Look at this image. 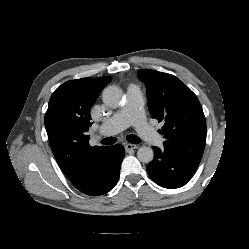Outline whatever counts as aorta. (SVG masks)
I'll use <instances>...</instances> for the list:
<instances>
[{"label": "aorta", "mask_w": 249, "mask_h": 249, "mask_svg": "<svg viewBox=\"0 0 249 249\" xmlns=\"http://www.w3.org/2000/svg\"><path fill=\"white\" fill-rule=\"evenodd\" d=\"M102 99L106 106L110 108H117L123 101V92L115 85L108 86L103 91ZM137 157L139 161L149 163L154 158L153 149L147 146H142L137 151Z\"/></svg>", "instance_id": "1"}]
</instances>
